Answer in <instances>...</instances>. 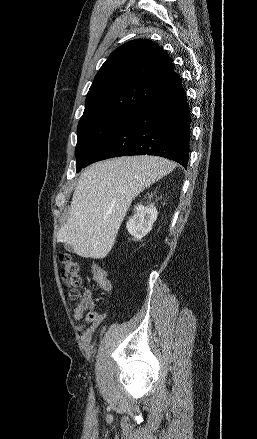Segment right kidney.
I'll use <instances>...</instances> for the list:
<instances>
[{
    "instance_id": "ca27d5eb",
    "label": "right kidney",
    "mask_w": 257,
    "mask_h": 439,
    "mask_svg": "<svg viewBox=\"0 0 257 439\" xmlns=\"http://www.w3.org/2000/svg\"><path fill=\"white\" fill-rule=\"evenodd\" d=\"M150 196L149 198H151ZM157 209L154 204H149L144 206L142 204H137L134 207V215L127 221L126 227L132 236L137 240L142 239L151 230L153 223L157 219Z\"/></svg>"
}]
</instances>
